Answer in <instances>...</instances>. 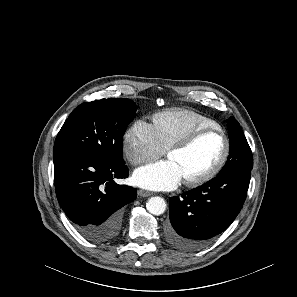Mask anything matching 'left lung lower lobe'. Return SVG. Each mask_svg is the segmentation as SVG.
I'll return each mask as SVG.
<instances>
[{
	"instance_id": "1",
	"label": "left lung lower lobe",
	"mask_w": 297,
	"mask_h": 297,
	"mask_svg": "<svg viewBox=\"0 0 297 297\" xmlns=\"http://www.w3.org/2000/svg\"><path fill=\"white\" fill-rule=\"evenodd\" d=\"M251 172L218 174L206 184L170 198L166 240L181 250L207 245L234 221L245 202Z\"/></svg>"
}]
</instances>
